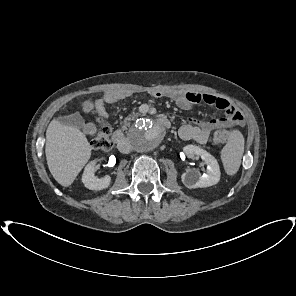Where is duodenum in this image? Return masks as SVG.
I'll return each mask as SVG.
<instances>
[{"label":"duodenum","mask_w":296,"mask_h":296,"mask_svg":"<svg viewBox=\"0 0 296 296\" xmlns=\"http://www.w3.org/2000/svg\"><path fill=\"white\" fill-rule=\"evenodd\" d=\"M157 121L165 128L170 126V121L166 117L158 116ZM112 140L121 152L127 153L129 151V144L121 130H116L113 133Z\"/></svg>","instance_id":"duodenum-1"}]
</instances>
